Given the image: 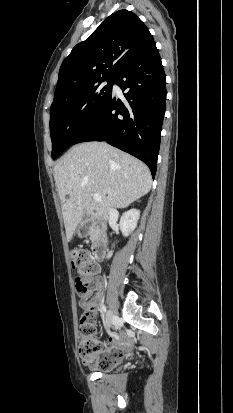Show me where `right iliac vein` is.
Wrapping results in <instances>:
<instances>
[{
	"mask_svg": "<svg viewBox=\"0 0 233 413\" xmlns=\"http://www.w3.org/2000/svg\"><path fill=\"white\" fill-rule=\"evenodd\" d=\"M114 320H115V315L111 311H108L107 315H106V319H105L106 327L110 328L112 326Z\"/></svg>",
	"mask_w": 233,
	"mask_h": 413,
	"instance_id": "1",
	"label": "right iliac vein"
}]
</instances>
